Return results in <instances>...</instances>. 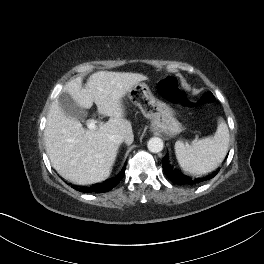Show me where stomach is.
<instances>
[{"instance_id": "stomach-1", "label": "stomach", "mask_w": 264, "mask_h": 264, "mask_svg": "<svg viewBox=\"0 0 264 264\" xmlns=\"http://www.w3.org/2000/svg\"><path fill=\"white\" fill-rule=\"evenodd\" d=\"M130 100L150 120L151 130L174 136L182 132V124L176 119L174 110L154 97L145 83H138L128 92Z\"/></svg>"}]
</instances>
